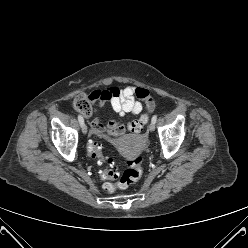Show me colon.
Returning <instances> with one entry per match:
<instances>
[{
	"label": "colon",
	"instance_id": "5ec220e1",
	"mask_svg": "<svg viewBox=\"0 0 248 248\" xmlns=\"http://www.w3.org/2000/svg\"><path fill=\"white\" fill-rule=\"evenodd\" d=\"M109 92V91H108ZM99 92L91 96H79L73 102V108L81 115L87 117L92 113L93 101L99 98ZM151 111H147L139 119L132 121L129 124V130L134 133L142 131L144 125L147 123ZM86 151L90 154L92 159L100 165L101 176L104 179L115 180L119 179L116 184L105 183L104 189L112 193L116 189H124L138 181L142 174V157L135 155L129 158L123 169L120 171L112 162L111 159L104 156L102 145L94 138H89L85 142Z\"/></svg>",
	"mask_w": 248,
	"mask_h": 248
}]
</instances>
